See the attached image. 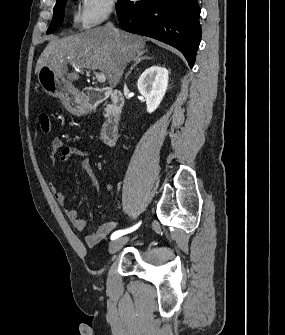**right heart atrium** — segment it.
Returning <instances> with one entry per match:
<instances>
[{"mask_svg":"<svg viewBox=\"0 0 285 335\" xmlns=\"http://www.w3.org/2000/svg\"><path fill=\"white\" fill-rule=\"evenodd\" d=\"M115 1H82L72 13V21L82 28H93L109 18Z\"/></svg>","mask_w":285,"mask_h":335,"instance_id":"d8ad5b80","label":"right heart atrium"}]
</instances>
